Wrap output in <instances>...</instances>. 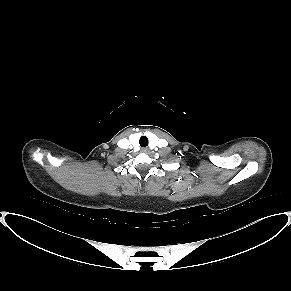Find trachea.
Here are the masks:
<instances>
[{"label":"trachea","instance_id":"3493384b","mask_svg":"<svg viewBox=\"0 0 291 291\" xmlns=\"http://www.w3.org/2000/svg\"><path fill=\"white\" fill-rule=\"evenodd\" d=\"M139 144L141 147L148 146V138L146 136H141V138L139 140Z\"/></svg>","mask_w":291,"mask_h":291}]
</instances>
